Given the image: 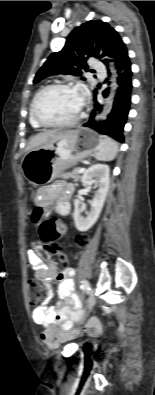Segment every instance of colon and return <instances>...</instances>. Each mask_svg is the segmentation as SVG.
Instances as JSON below:
<instances>
[{
    "mask_svg": "<svg viewBox=\"0 0 155 395\" xmlns=\"http://www.w3.org/2000/svg\"><path fill=\"white\" fill-rule=\"evenodd\" d=\"M43 211L41 208H36L33 213V221L38 223L40 222V228H38L37 233L41 235V247L42 249L49 253V256H58L61 257L62 260H65L68 252L67 250L59 249L57 241H59L60 236L59 233L61 229L58 227L56 222H61V215H52L50 220H42ZM64 264L66 265V272H73V265H68L69 261L65 260ZM28 289H29V302L32 305L43 302L46 299L47 292L45 288L38 283L36 280L28 281Z\"/></svg>",
    "mask_w": 155,
    "mask_h": 395,
    "instance_id": "5ec220e1",
    "label": "colon"
}]
</instances>
